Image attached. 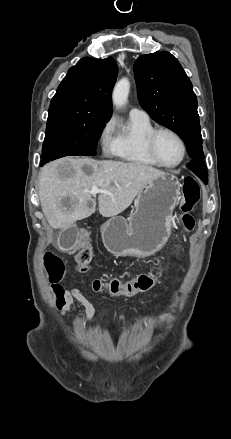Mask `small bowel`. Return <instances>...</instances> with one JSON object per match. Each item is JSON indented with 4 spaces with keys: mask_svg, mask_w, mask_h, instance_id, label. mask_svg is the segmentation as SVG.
Segmentation results:
<instances>
[{
    "mask_svg": "<svg viewBox=\"0 0 231 439\" xmlns=\"http://www.w3.org/2000/svg\"><path fill=\"white\" fill-rule=\"evenodd\" d=\"M159 275V274H158ZM150 289V288H148ZM146 289V290H148ZM145 290V291H146ZM144 292V291H143ZM61 312L65 313L71 306L74 301H77L85 311V320L83 322V326H86L91 322L95 314V308L92 303L80 292L77 288H71L63 291L61 296ZM125 316L121 314L119 316V321L124 322Z\"/></svg>",
    "mask_w": 231,
    "mask_h": 439,
    "instance_id": "obj_1",
    "label": "small bowel"
}]
</instances>
